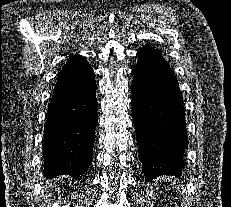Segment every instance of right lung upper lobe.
<instances>
[{"label": "right lung upper lobe", "instance_id": "obj_1", "mask_svg": "<svg viewBox=\"0 0 231 207\" xmlns=\"http://www.w3.org/2000/svg\"><path fill=\"white\" fill-rule=\"evenodd\" d=\"M84 60H85V58L78 56V55H75L67 61L66 66H73L75 63H79V62H82Z\"/></svg>", "mask_w": 231, "mask_h": 207}]
</instances>
